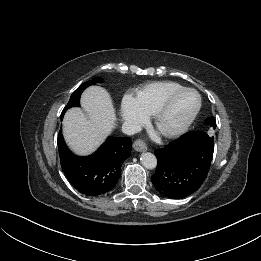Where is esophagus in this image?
<instances>
[{"label": "esophagus", "instance_id": "obj_1", "mask_svg": "<svg viewBox=\"0 0 261 261\" xmlns=\"http://www.w3.org/2000/svg\"><path fill=\"white\" fill-rule=\"evenodd\" d=\"M133 148L136 150V151H139V152H142V151H147L148 148H147V145L146 143L143 141V140H136L134 143H133Z\"/></svg>", "mask_w": 261, "mask_h": 261}]
</instances>
